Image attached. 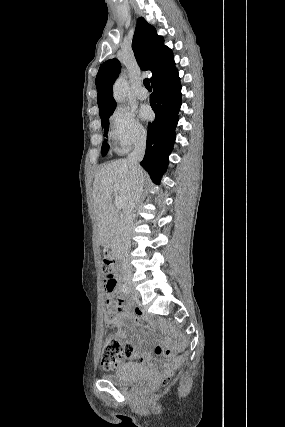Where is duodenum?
Here are the masks:
<instances>
[{"mask_svg": "<svg viewBox=\"0 0 285 427\" xmlns=\"http://www.w3.org/2000/svg\"><path fill=\"white\" fill-rule=\"evenodd\" d=\"M113 228H114V224H111V225H110V227H109V229H110V230H112ZM101 242H102V243H105V241H104V234H103V232L101 233Z\"/></svg>", "mask_w": 285, "mask_h": 427, "instance_id": "410a0bca", "label": "duodenum"}]
</instances>
